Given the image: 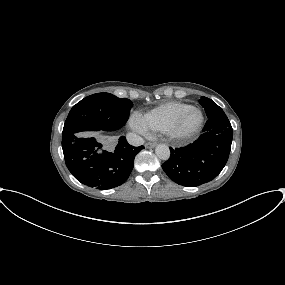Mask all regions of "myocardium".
Instances as JSON below:
<instances>
[{"label":"myocardium","instance_id":"myocardium-1","mask_svg":"<svg viewBox=\"0 0 285 285\" xmlns=\"http://www.w3.org/2000/svg\"><path fill=\"white\" fill-rule=\"evenodd\" d=\"M192 111H196L199 114V122L193 129L184 130L183 125L185 123V120L188 114ZM203 121H204L203 112L199 108L191 106L188 109L184 110L177 117L175 122L170 126V128L167 130L166 133L168 134L170 138L174 140H184V139H187L195 135L197 132H199V130L202 127Z\"/></svg>","mask_w":285,"mask_h":285}]
</instances>
